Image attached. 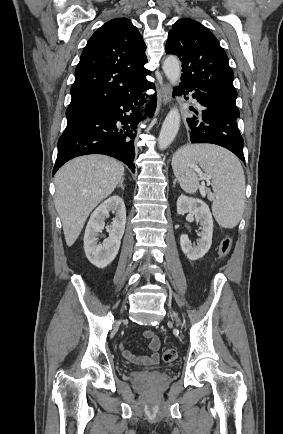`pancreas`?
Listing matches in <instances>:
<instances>
[{
	"mask_svg": "<svg viewBox=\"0 0 283 434\" xmlns=\"http://www.w3.org/2000/svg\"><path fill=\"white\" fill-rule=\"evenodd\" d=\"M201 192H202V195H203V196H205V195L207 194L208 198H211V197H212V194H211V192H210V190H209L208 188H203V189L201 190Z\"/></svg>",
	"mask_w": 283,
	"mask_h": 434,
	"instance_id": "1",
	"label": "pancreas"
}]
</instances>
